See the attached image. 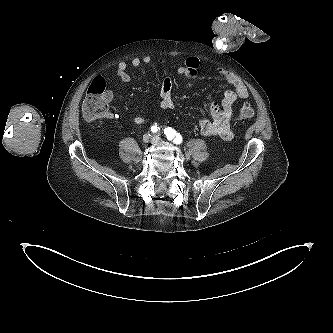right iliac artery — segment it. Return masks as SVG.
I'll use <instances>...</instances> for the list:
<instances>
[{
	"mask_svg": "<svg viewBox=\"0 0 333 333\" xmlns=\"http://www.w3.org/2000/svg\"><path fill=\"white\" fill-rule=\"evenodd\" d=\"M159 129H160V128L157 127V126H155V125L151 127V131H152L153 133H156Z\"/></svg>",
	"mask_w": 333,
	"mask_h": 333,
	"instance_id": "1",
	"label": "right iliac artery"
}]
</instances>
